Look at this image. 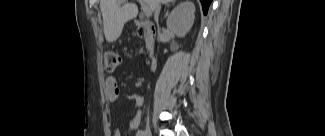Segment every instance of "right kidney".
<instances>
[{
  "mask_svg": "<svg viewBox=\"0 0 325 136\" xmlns=\"http://www.w3.org/2000/svg\"><path fill=\"white\" fill-rule=\"evenodd\" d=\"M195 6L190 0L177 5L169 14L167 27L176 36L183 38L190 31L195 19Z\"/></svg>",
  "mask_w": 325,
  "mask_h": 136,
  "instance_id": "ca27d5eb",
  "label": "right kidney"
}]
</instances>
